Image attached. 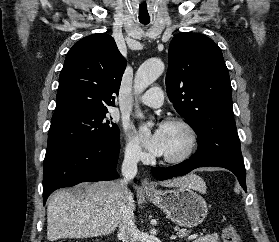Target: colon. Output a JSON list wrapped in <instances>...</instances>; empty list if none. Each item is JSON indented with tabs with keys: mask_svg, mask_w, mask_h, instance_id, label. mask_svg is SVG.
Masks as SVG:
<instances>
[{
	"mask_svg": "<svg viewBox=\"0 0 279 242\" xmlns=\"http://www.w3.org/2000/svg\"><path fill=\"white\" fill-rule=\"evenodd\" d=\"M222 238L224 242H242L239 234L232 226H225L222 230ZM60 242H68V241H60Z\"/></svg>",
	"mask_w": 279,
	"mask_h": 242,
	"instance_id": "5ec220e1",
	"label": "colon"
}]
</instances>
